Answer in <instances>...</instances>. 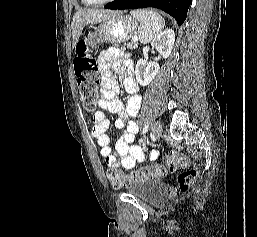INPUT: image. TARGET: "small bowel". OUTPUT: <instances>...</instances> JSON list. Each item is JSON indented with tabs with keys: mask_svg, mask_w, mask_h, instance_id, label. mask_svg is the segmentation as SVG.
I'll return each instance as SVG.
<instances>
[{
	"mask_svg": "<svg viewBox=\"0 0 257 237\" xmlns=\"http://www.w3.org/2000/svg\"><path fill=\"white\" fill-rule=\"evenodd\" d=\"M98 66L103 74V89L99 106L102 110L117 115L114 126L121 130V135L113 149L107 133L109 121L103 111H96L92 114V135L100 147L101 156L108 165L121 166L130 170L144 160L143 149L133 144L138 133V125L133 118L137 115L141 105V97L137 94L138 85L134 79L133 64L119 49L109 48L100 53ZM113 70L123 76L124 87L131 94L126 105L117 97L119 85L112 77ZM151 158L157 159L158 152L153 151Z\"/></svg>",
	"mask_w": 257,
	"mask_h": 237,
	"instance_id": "obj_1",
	"label": "small bowel"
}]
</instances>
